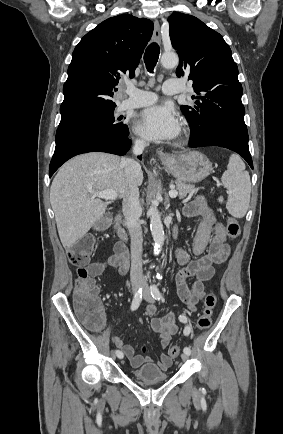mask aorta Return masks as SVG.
<instances>
[{
  "label": "aorta",
  "mask_w": 283,
  "mask_h": 434,
  "mask_svg": "<svg viewBox=\"0 0 283 434\" xmlns=\"http://www.w3.org/2000/svg\"><path fill=\"white\" fill-rule=\"evenodd\" d=\"M179 58L175 53H165L161 57V64L165 68H174L178 65ZM148 213L150 215V230L154 240V253L159 254L164 243V229L157 206L152 203Z\"/></svg>",
  "instance_id": "1"
}]
</instances>
